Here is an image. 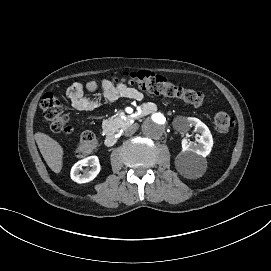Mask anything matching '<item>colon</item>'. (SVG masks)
I'll return each mask as SVG.
<instances>
[{"label": "colon", "mask_w": 271, "mask_h": 271, "mask_svg": "<svg viewBox=\"0 0 271 271\" xmlns=\"http://www.w3.org/2000/svg\"><path fill=\"white\" fill-rule=\"evenodd\" d=\"M114 80L116 82H127L130 85H137L141 89L155 95L179 100L195 106L202 105L206 99L205 94L201 91L178 86L169 82L165 77L149 71L125 72L121 80L116 77H114ZM40 107L44 117L50 122L52 131L66 134L71 133L72 127L69 123V117L59 100L52 93L43 95ZM234 124V118L225 111H219L214 115L213 126L219 133L230 131L234 127ZM97 148L98 143L95 135L87 131L82 133L74 149V155L77 158H84L94 154Z\"/></svg>", "instance_id": "1"}]
</instances>
